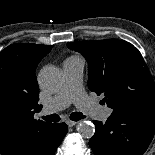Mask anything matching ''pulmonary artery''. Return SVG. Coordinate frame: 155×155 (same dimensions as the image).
<instances>
[{"mask_svg": "<svg viewBox=\"0 0 155 155\" xmlns=\"http://www.w3.org/2000/svg\"><path fill=\"white\" fill-rule=\"evenodd\" d=\"M84 66V61L78 57H70L63 61V83L50 102L45 105L42 114L63 110L73 103L84 115L91 118L103 121L109 118L111 110L97 105L84 93L82 86Z\"/></svg>", "mask_w": 155, "mask_h": 155, "instance_id": "e3ab8cb5", "label": "pulmonary artery"}]
</instances>
